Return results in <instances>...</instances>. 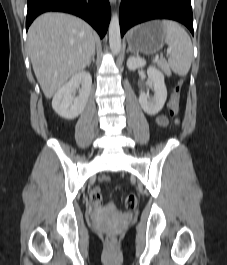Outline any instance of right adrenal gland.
<instances>
[{
	"instance_id": "right-adrenal-gland-1",
	"label": "right adrenal gland",
	"mask_w": 227,
	"mask_h": 265,
	"mask_svg": "<svg viewBox=\"0 0 227 265\" xmlns=\"http://www.w3.org/2000/svg\"><path fill=\"white\" fill-rule=\"evenodd\" d=\"M91 62H95V52L93 53V55H92V58H91L90 62L87 64V67H89V66H90Z\"/></svg>"
}]
</instances>
